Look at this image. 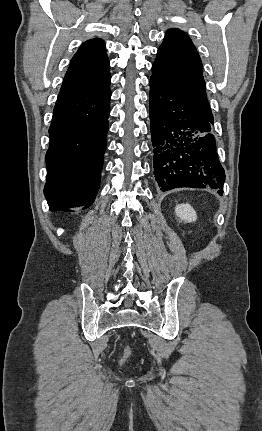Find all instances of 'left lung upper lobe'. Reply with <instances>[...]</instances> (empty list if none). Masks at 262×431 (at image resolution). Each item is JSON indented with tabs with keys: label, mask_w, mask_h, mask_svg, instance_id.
<instances>
[{
	"label": "left lung upper lobe",
	"mask_w": 262,
	"mask_h": 431,
	"mask_svg": "<svg viewBox=\"0 0 262 431\" xmlns=\"http://www.w3.org/2000/svg\"><path fill=\"white\" fill-rule=\"evenodd\" d=\"M151 79L184 96L213 118L206 97L202 62L191 39L179 29H169L157 52Z\"/></svg>",
	"instance_id": "5c2ea615"
}]
</instances>
